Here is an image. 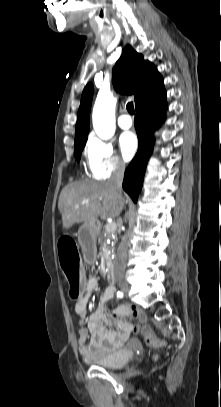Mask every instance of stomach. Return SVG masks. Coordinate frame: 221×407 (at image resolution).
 I'll return each mask as SVG.
<instances>
[{"label": "stomach", "mask_w": 221, "mask_h": 407, "mask_svg": "<svg viewBox=\"0 0 221 407\" xmlns=\"http://www.w3.org/2000/svg\"><path fill=\"white\" fill-rule=\"evenodd\" d=\"M83 227H84V228H87V229H91V228H93L94 226H93L91 223H85Z\"/></svg>", "instance_id": "0dacf381"}]
</instances>
